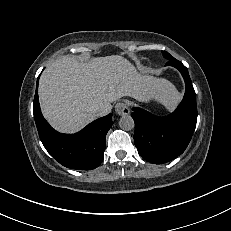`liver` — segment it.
Returning <instances> with one entry per match:
<instances>
[{
	"instance_id": "1",
	"label": "liver",
	"mask_w": 231,
	"mask_h": 231,
	"mask_svg": "<svg viewBox=\"0 0 231 231\" xmlns=\"http://www.w3.org/2000/svg\"><path fill=\"white\" fill-rule=\"evenodd\" d=\"M41 110L47 121L63 133H75L97 118L96 109L123 96L172 105L175 87L165 79L139 74L119 55L92 58L82 63L65 55L51 63L39 81Z\"/></svg>"
}]
</instances>
